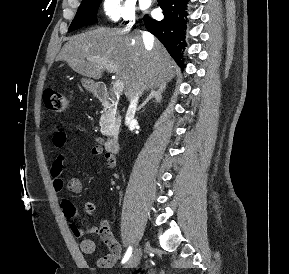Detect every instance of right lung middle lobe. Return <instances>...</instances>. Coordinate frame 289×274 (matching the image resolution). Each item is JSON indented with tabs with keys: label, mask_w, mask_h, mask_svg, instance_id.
<instances>
[{
	"label": "right lung middle lobe",
	"mask_w": 289,
	"mask_h": 274,
	"mask_svg": "<svg viewBox=\"0 0 289 274\" xmlns=\"http://www.w3.org/2000/svg\"><path fill=\"white\" fill-rule=\"evenodd\" d=\"M101 1L102 0H82L76 16L69 27V32L85 25L96 23V14Z\"/></svg>",
	"instance_id": "right-lung-middle-lobe-1"
}]
</instances>
